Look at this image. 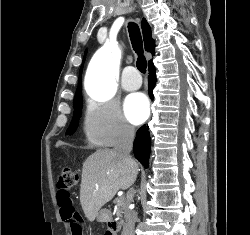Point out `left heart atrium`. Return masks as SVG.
Segmentation results:
<instances>
[{
	"mask_svg": "<svg viewBox=\"0 0 250 235\" xmlns=\"http://www.w3.org/2000/svg\"><path fill=\"white\" fill-rule=\"evenodd\" d=\"M127 118L134 124L143 122L149 113L147 98L140 93L129 96L124 104Z\"/></svg>",
	"mask_w": 250,
	"mask_h": 235,
	"instance_id": "1",
	"label": "left heart atrium"
}]
</instances>
